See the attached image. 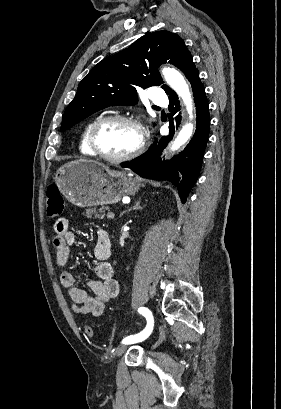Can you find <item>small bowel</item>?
<instances>
[{
  "instance_id": "1",
  "label": "small bowel",
  "mask_w": 281,
  "mask_h": 409,
  "mask_svg": "<svg viewBox=\"0 0 281 409\" xmlns=\"http://www.w3.org/2000/svg\"><path fill=\"white\" fill-rule=\"evenodd\" d=\"M53 245L56 252V261L60 267H65L70 259V247L77 242V235L69 229V221L60 218L53 224ZM112 255L110 236L102 228L97 229V240L94 247V257L97 263L94 273L97 280L88 282L94 296L75 286V276L65 270L60 274V282L68 290L70 306L76 314L102 315L106 304L119 294V282L114 277V268L108 262Z\"/></svg>"
}]
</instances>
